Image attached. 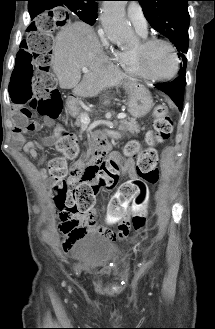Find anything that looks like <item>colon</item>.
Instances as JSON below:
<instances>
[{
    "label": "colon",
    "instance_id": "colon-1",
    "mask_svg": "<svg viewBox=\"0 0 215 329\" xmlns=\"http://www.w3.org/2000/svg\"><path fill=\"white\" fill-rule=\"evenodd\" d=\"M71 14H35L32 25H28L26 37L20 55L14 56L16 73L6 91L11 103H16L19 114L26 118L30 110L40 116L56 119L61 111V95L56 88V80L51 71L52 38L57 32H63ZM154 131L147 134L150 145L161 143L170 138L174 121L165 106L158 105L154 110ZM33 130V127H27ZM77 138L74 134L61 131L58 149L60 155L49 163V174L53 179L51 195L62 220L87 216L95 204L96 196L101 191L113 189L119 179V168L113 160H97L82 169L71 170V182L67 178V161L78 152ZM124 152L129 157H136L137 172L143 182L150 185L158 181L157 151L153 146L139 150V144L129 142ZM69 176V177H70ZM148 203V199H146ZM111 203V202H110ZM132 210V208H131ZM146 218H132L135 229L141 230Z\"/></svg>",
    "mask_w": 215,
    "mask_h": 329
}]
</instances>
